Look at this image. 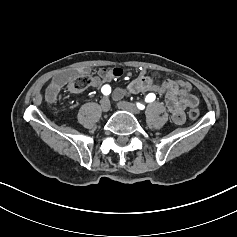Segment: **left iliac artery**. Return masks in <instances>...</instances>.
<instances>
[{"label": "left iliac artery", "instance_id": "obj_1", "mask_svg": "<svg viewBox=\"0 0 237 237\" xmlns=\"http://www.w3.org/2000/svg\"><path fill=\"white\" fill-rule=\"evenodd\" d=\"M156 96L155 94L153 93H149L146 98H145V101L146 102H153L155 100ZM137 107L140 109V110H143L145 108L144 105L140 104V103H137Z\"/></svg>", "mask_w": 237, "mask_h": 237}]
</instances>
